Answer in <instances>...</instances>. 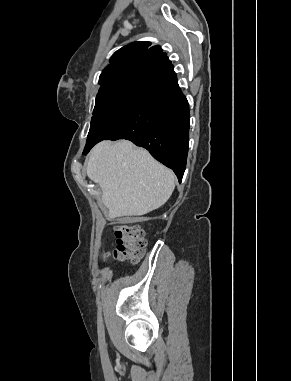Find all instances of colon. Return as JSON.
Masks as SVG:
<instances>
[{
    "label": "colon",
    "mask_w": 291,
    "mask_h": 381,
    "mask_svg": "<svg viewBox=\"0 0 291 381\" xmlns=\"http://www.w3.org/2000/svg\"><path fill=\"white\" fill-rule=\"evenodd\" d=\"M116 248L111 255L122 261L136 263L143 255V232L138 225L119 223L113 226Z\"/></svg>",
    "instance_id": "1"
}]
</instances>
